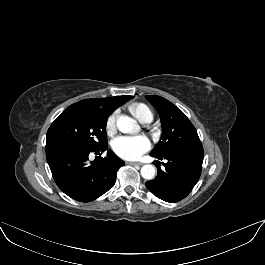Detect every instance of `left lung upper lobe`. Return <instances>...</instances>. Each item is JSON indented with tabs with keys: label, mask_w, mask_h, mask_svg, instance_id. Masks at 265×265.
<instances>
[{
	"label": "left lung upper lobe",
	"mask_w": 265,
	"mask_h": 265,
	"mask_svg": "<svg viewBox=\"0 0 265 265\" xmlns=\"http://www.w3.org/2000/svg\"><path fill=\"white\" fill-rule=\"evenodd\" d=\"M145 97L160 115L163 128L160 141L150 154L161 156L173 149L200 142L193 124L173 103L160 96Z\"/></svg>",
	"instance_id": "obj_1"
}]
</instances>
